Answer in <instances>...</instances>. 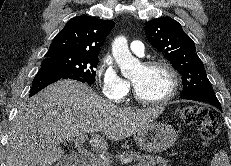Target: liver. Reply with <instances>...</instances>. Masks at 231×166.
Listing matches in <instances>:
<instances>
[{
	"label": "liver",
	"mask_w": 231,
	"mask_h": 166,
	"mask_svg": "<svg viewBox=\"0 0 231 166\" xmlns=\"http://www.w3.org/2000/svg\"><path fill=\"white\" fill-rule=\"evenodd\" d=\"M163 107H118L97 95L86 84L61 79L30 98L18 111L6 147L7 166H51L64 151L58 139L103 133L115 142L150 125ZM89 144L107 150L99 134Z\"/></svg>",
	"instance_id": "6515ba94"
}]
</instances>
